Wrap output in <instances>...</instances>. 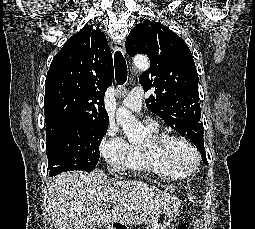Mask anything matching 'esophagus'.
Instances as JSON below:
<instances>
[{"mask_svg":"<svg viewBox=\"0 0 255 229\" xmlns=\"http://www.w3.org/2000/svg\"><path fill=\"white\" fill-rule=\"evenodd\" d=\"M112 49L113 50H120L123 54L125 53V43L124 41H121L120 43L118 44H113L112 45Z\"/></svg>","mask_w":255,"mask_h":229,"instance_id":"obj_1","label":"esophagus"}]
</instances>
